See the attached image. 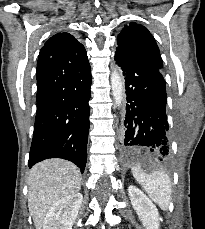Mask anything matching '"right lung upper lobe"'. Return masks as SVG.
<instances>
[{
  "instance_id": "1",
  "label": "right lung upper lobe",
  "mask_w": 205,
  "mask_h": 229,
  "mask_svg": "<svg viewBox=\"0 0 205 229\" xmlns=\"http://www.w3.org/2000/svg\"><path fill=\"white\" fill-rule=\"evenodd\" d=\"M52 58L62 60L70 69H79L89 64L84 46L66 32L55 34L45 43L40 50L37 64Z\"/></svg>"
}]
</instances>
